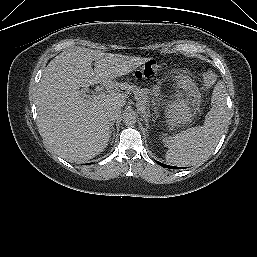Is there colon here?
I'll use <instances>...</instances> for the list:
<instances>
[{
  "mask_svg": "<svg viewBox=\"0 0 257 257\" xmlns=\"http://www.w3.org/2000/svg\"><path fill=\"white\" fill-rule=\"evenodd\" d=\"M160 70L161 65L157 61L151 60L141 65L134 73V76L139 79L149 78L157 74ZM217 79L218 77L215 73L206 72L202 79V85L207 91H209L210 88L217 82Z\"/></svg>",
  "mask_w": 257,
  "mask_h": 257,
  "instance_id": "1",
  "label": "colon"
}]
</instances>
